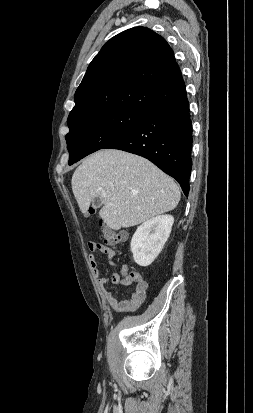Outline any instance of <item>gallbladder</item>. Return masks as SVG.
Segmentation results:
<instances>
[{"label": "gallbladder", "instance_id": "obj_1", "mask_svg": "<svg viewBox=\"0 0 253 413\" xmlns=\"http://www.w3.org/2000/svg\"><path fill=\"white\" fill-rule=\"evenodd\" d=\"M102 200L100 198H95L92 200V206L94 208H99L102 205Z\"/></svg>", "mask_w": 253, "mask_h": 413}]
</instances>
